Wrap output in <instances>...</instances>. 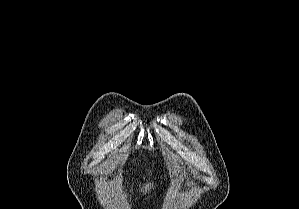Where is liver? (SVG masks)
<instances>
[{"label":"liver","instance_id":"6515ba94","mask_svg":"<svg viewBox=\"0 0 299 209\" xmlns=\"http://www.w3.org/2000/svg\"><path fill=\"white\" fill-rule=\"evenodd\" d=\"M148 188H149V185L145 186L146 191H147Z\"/></svg>","mask_w":299,"mask_h":209}]
</instances>
